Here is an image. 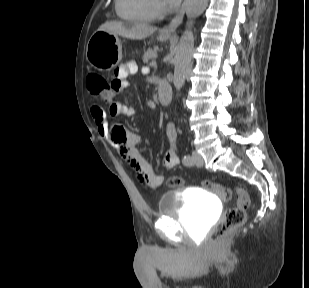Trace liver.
<instances>
[{"label":"liver","mask_w":309,"mask_h":288,"mask_svg":"<svg viewBox=\"0 0 309 288\" xmlns=\"http://www.w3.org/2000/svg\"><path fill=\"white\" fill-rule=\"evenodd\" d=\"M100 31H108L127 39L142 40L152 35L157 28L144 23L127 24L121 21H108L102 24Z\"/></svg>","instance_id":"obj_1"}]
</instances>
